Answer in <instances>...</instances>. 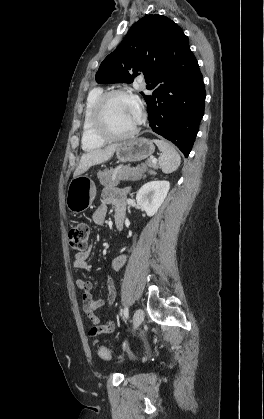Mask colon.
Listing matches in <instances>:
<instances>
[{
  "label": "colon",
  "instance_id": "colon-1",
  "mask_svg": "<svg viewBox=\"0 0 264 419\" xmlns=\"http://www.w3.org/2000/svg\"><path fill=\"white\" fill-rule=\"evenodd\" d=\"M89 241V227L85 223H79L72 227L69 231V245L76 251L83 252L86 250ZM98 356L104 360H110L112 353L105 347L97 349Z\"/></svg>",
  "mask_w": 264,
  "mask_h": 419
}]
</instances>
